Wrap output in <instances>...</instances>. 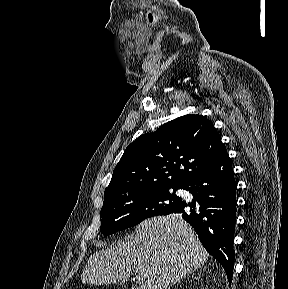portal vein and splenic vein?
I'll return each instance as SVG.
<instances>
[{
	"label": "portal vein and splenic vein",
	"instance_id": "portal-vein-and-splenic-vein-1",
	"mask_svg": "<svg viewBox=\"0 0 288 289\" xmlns=\"http://www.w3.org/2000/svg\"><path fill=\"white\" fill-rule=\"evenodd\" d=\"M142 280H143V278L140 277V275H137V283L140 284Z\"/></svg>",
	"mask_w": 288,
	"mask_h": 289
}]
</instances>
